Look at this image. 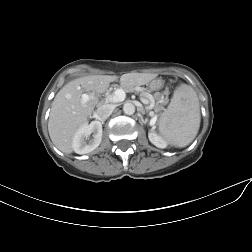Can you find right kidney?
<instances>
[{
    "label": "right kidney",
    "instance_id": "right-kidney-1",
    "mask_svg": "<svg viewBox=\"0 0 252 252\" xmlns=\"http://www.w3.org/2000/svg\"><path fill=\"white\" fill-rule=\"evenodd\" d=\"M102 123L92 121L90 124L82 125L75 133L72 141V148L77 154H87L95 150L102 140ZM92 134L93 138L89 140Z\"/></svg>",
    "mask_w": 252,
    "mask_h": 252
}]
</instances>
